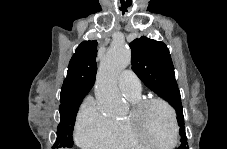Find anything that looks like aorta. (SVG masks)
I'll use <instances>...</instances> for the list:
<instances>
[{
  "mask_svg": "<svg viewBox=\"0 0 227 149\" xmlns=\"http://www.w3.org/2000/svg\"><path fill=\"white\" fill-rule=\"evenodd\" d=\"M131 60L130 50L124 43H114L104 56L96 78L95 98L99 111L107 116L119 114L122 98L117 77Z\"/></svg>",
  "mask_w": 227,
  "mask_h": 149,
  "instance_id": "obj_1",
  "label": "aorta"
}]
</instances>
